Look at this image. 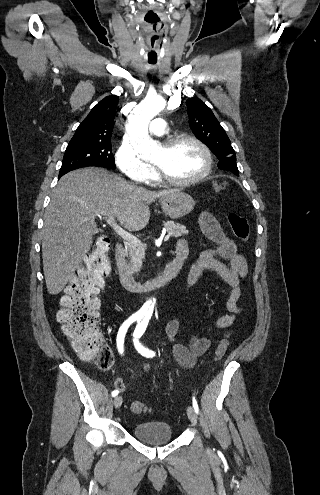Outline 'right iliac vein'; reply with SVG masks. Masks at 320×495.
I'll return each mask as SVG.
<instances>
[{
    "label": "right iliac vein",
    "mask_w": 320,
    "mask_h": 495,
    "mask_svg": "<svg viewBox=\"0 0 320 495\" xmlns=\"http://www.w3.org/2000/svg\"><path fill=\"white\" fill-rule=\"evenodd\" d=\"M122 402H123L122 397H121V396H116V397L114 398V407H115L116 409L120 408V406H121Z\"/></svg>",
    "instance_id": "1"
}]
</instances>
